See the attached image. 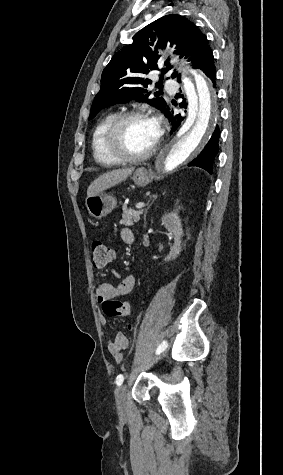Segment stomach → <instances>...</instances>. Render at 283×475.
<instances>
[{
	"mask_svg": "<svg viewBox=\"0 0 283 475\" xmlns=\"http://www.w3.org/2000/svg\"><path fill=\"white\" fill-rule=\"evenodd\" d=\"M153 178H155L152 170H147V168H137L135 170L132 180L136 186H147L152 182ZM117 200L113 198V196H109V194H97V196H89L85 200V206L93 216V218H104L107 214H110L114 208H116Z\"/></svg>",
	"mask_w": 283,
	"mask_h": 475,
	"instance_id": "obj_1",
	"label": "stomach"
}]
</instances>
